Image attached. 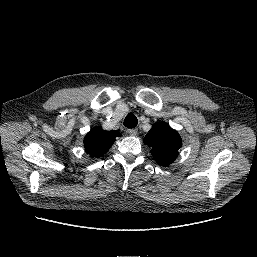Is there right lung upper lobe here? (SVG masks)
Returning a JSON list of instances; mask_svg holds the SVG:
<instances>
[{
  "label": "right lung upper lobe",
  "instance_id": "obj_1",
  "mask_svg": "<svg viewBox=\"0 0 257 257\" xmlns=\"http://www.w3.org/2000/svg\"><path fill=\"white\" fill-rule=\"evenodd\" d=\"M120 135L117 130L105 131L101 127H95L84 138L85 150L91 157L99 158L109 150L115 138Z\"/></svg>",
  "mask_w": 257,
  "mask_h": 257
}]
</instances>
